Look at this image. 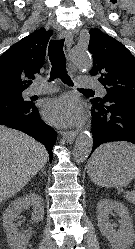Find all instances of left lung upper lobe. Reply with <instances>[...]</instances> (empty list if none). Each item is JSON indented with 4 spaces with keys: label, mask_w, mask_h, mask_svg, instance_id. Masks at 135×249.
Masks as SVG:
<instances>
[{
    "label": "left lung upper lobe",
    "mask_w": 135,
    "mask_h": 249,
    "mask_svg": "<svg viewBox=\"0 0 135 249\" xmlns=\"http://www.w3.org/2000/svg\"><path fill=\"white\" fill-rule=\"evenodd\" d=\"M89 52L93 55L90 74L98 77L107 95L91 101L105 103L109 98L135 100V57L115 38L98 28L89 31Z\"/></svg>",
    "instance_id": "1"
}]
</instances>
